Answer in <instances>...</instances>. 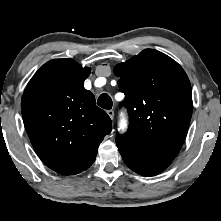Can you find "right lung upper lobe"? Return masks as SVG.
Returning <instances> with one entry per match:
<instances>
[{
  "instance_id": "right-lung-upper-lobe-1",
  "label": "right lung upper lobe",
  "mask_w": 221,
  "mask_h": 221,
  "mask_svg": "<svg viewBox=\"0 0 221 221\" xmlns=\"http://www.w3.org/2000/svg\"><path fill=\"white\" fill-rule=\"evenodd\" d=\"M89 74L90 68L72 59H53L34 74L22 97L24 125L37 155L63 175L88 169L112 129L110 117L83 86Z\"/></svg>"
}]
</instances>
